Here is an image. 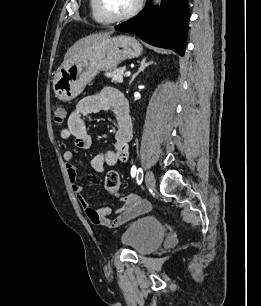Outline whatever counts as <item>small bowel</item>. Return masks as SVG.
Here are the masks:
<instances>
[{
    "instance_id": "small-bowel-1",
    "label": "small bowel",
    "mask_w": 261,
    "mask_h": 306,
    "mask_svg": "<svg viewBox=\"0 0 261 306\" xmlns=\"http://www.w3.org/2000/svg\"><path fill=\"white\" fill-rule=\"evenodd\" d=\"M99 111L113 113L117 129L112 150L101 151L91 160V167L97 173H103L105 166H115L118 162H127L130 156L129 142L132 139V121L129 106L124 95L113 88H105L79 101L74 111L68 117L67 127L60 131V138H73L74 144L80 149H89L92 144L91 136L83 120L84 115ZM66 170L72 189L88 219L95 225L107 228L117 227L149 209V203L136 195L129 193L124 198V205L114 214L110 207L94 208L83 196V186L78 183L77 166L74 164V152L67 150L63 153Z\"/></svg>"
}]
</instances>
